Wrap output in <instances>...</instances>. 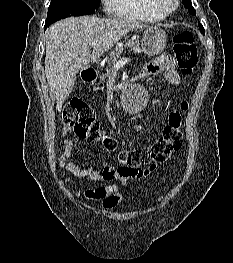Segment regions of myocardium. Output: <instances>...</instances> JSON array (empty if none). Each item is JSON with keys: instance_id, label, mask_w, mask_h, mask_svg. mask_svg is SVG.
Returning <instances> with one entry per match:
<instances>
[{"instance_id": "1", "label": "myocardium", "mask_w": 233, "mask_h": 263, "mask_svg": "<svg viewBox=\"0 0 233 263\" xmlns=\"http://www.w3.org/2000/svg\"><path fill=\"white\" fill-rule=\"evenodd\" d=\"M155 8L164 16L170 15L178 8V0H152Z\"/></svg>"}]
</instances>
